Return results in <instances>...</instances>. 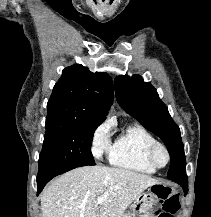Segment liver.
I'll return each instance as SVG.
<instances>
[{
    "label": "liver",
    "instance_id": "1",
    "mask_svg": "<svg viewBox=\"0 0 211 217\" xmlns=\"http://www.w3.org/2000/svg\"><path fill=\"white\" fill-rule=\"evenodd\" d=\"M158 183L148 175L122 168H76L43 191L42 217H121L144 190ZM99 196L104 197L100 207Z\"/></svg>",
    "mask_w": 211,
    "mask_h": 217
}]
</instances>
